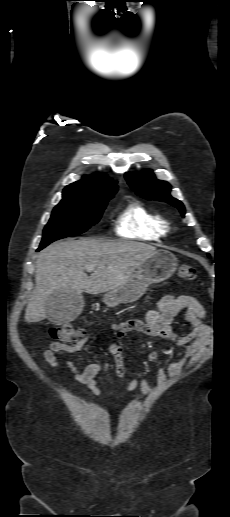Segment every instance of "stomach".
Here are the masks:
<instances>
[{
    "label": "stomach",
    "mask_w": 230,
    "mask_h": 517,
    "mask_svg": "<svg viewBox=\"0 0 230 517\" xmlns=\"http://www.w3.org/2000/svg\"><path fill=\"white\" fill-rule=\"evenodd\" d=\"M177 269V258L169 251L157 250L129 277L125 284L104 294L109 307L137 301L152 283L162 282Z\"/></svg>",
    "instance_id": "stomach-1"
}]
</instances>
